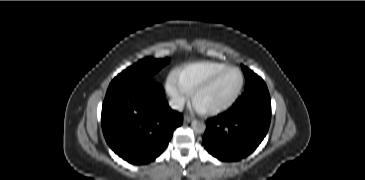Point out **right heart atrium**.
<instances>
[{
	"label": "right heart atrium",
	"instance_id": "1",
	"mask_svg": "<svg viewBox=\"0 0 365 180\" xmlns=\"http://www.w3.org/2000/svg\"><path fill=\"white\" fill-rule=\"evenodd\" d=\"M166 92L171 98L174 106L180 108L188 100L189 94L179 83L176 72H172L166 80Z\"/></svg>",
	"mask_w": 365,
	"mask_h": 180
}]
</instances>
